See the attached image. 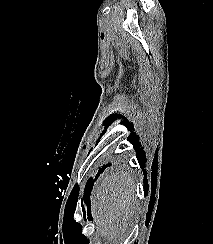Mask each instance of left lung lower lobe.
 I'll use <instances>...</instances> for the list:
<instances>
[{
    "mask_svg": "<svg viewBox=\"0 0 213 244\" xmlns=\"http://www.w3.org/2000/svg\"><path fill=\"white\" fill-rule=\"evenodd\" d=\"M108 166H110V164L106 165V166H103V168L99 170V172L97 173L95 178H97L99 176V174H101L104 171V169L106 167H108ZM92 185H93V182H92V179L90 178L88 180L87 184H86L85 194H84L85 195V200L88 202V204H90L89 199H90V193H91V190H92Z\"/></svg>",
    "mask_w": 213,
    "mask_h": 244,
    "instance_id": "obj_1",
    "label": "left lung lower lobe"
}]
</instances>
